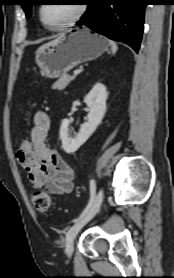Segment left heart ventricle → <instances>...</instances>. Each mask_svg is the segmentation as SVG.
Returning <instances> with one entry per match:
<instances>
[{"label":"left heart ventricle","instance_id":"b2bd125f","mask_svg":"<svg viewBox=\"0 0 174 278\" xmlns=\"http://www.w3.org/2000/svg\"><path fill=\"white\" fill-rule=\"evenodd\" d=\"M78 8V4H48L44 5L43 16L49 25L57 26L72 18L77 13Z\"/></svg>","mask_w":174,"mask_h":278}]
</instances>
